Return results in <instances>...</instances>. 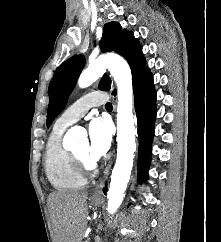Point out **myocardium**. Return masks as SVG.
<instances>
[{
	"instance_id": "obj_1",
	"label": "myocardium",
	"mask_w": 221,
	"mask_h": 242,
	"mask_svg": "<svg viewBox=\"0 0 221 242\" xmlns=\"http://www.w3.org/2000/svg\"><path fill=\"white\" fill-rule=\"evenodd\" d=\"M73 160L78 170L83 174H87L95 169V163L91 160H85L79 157L75 152L72 153Z\"/></svg>"
}]
</instances>
